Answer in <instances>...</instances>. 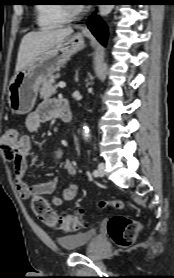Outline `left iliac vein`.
I'll return each mask as SVG.
<instances>
[{
	"instance_id": "1",
	"label": "left iliac vein",
	"mask_w": 174,
	"mask_h": 278,
	"mask_svg": "<svg viewBox=\"0 0 174 278\" xmlns=\"http://www.w3.org/2000/svg\"><path fill=\"white\" fill-rule=\"evenodd\" d=\"M105 164L102 162L98 165V176H104L105 175Z\"/></svg>"
}]
</instances>
